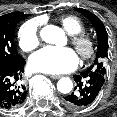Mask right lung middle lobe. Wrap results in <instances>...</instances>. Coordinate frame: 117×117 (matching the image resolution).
Wrapping results in <instances>:
<instances>
[{
    "mask_svg": "<svg viewBox=\"0 0 117 117\" xmlns=\"http://www.w3.org/2000/svg\"><path fill=\"white\" fill-rule=\"evenodd\" d=\"M28 17L23 13H9L0 16V62H15L22 57L14 42L16 24Z\"/></svg>",
    "mask_w": 117,
    "mask_h": 117,
    "instance_id": "dd1d6c3e",
    "label": "right lung middle lobe"
}]
</instances>
